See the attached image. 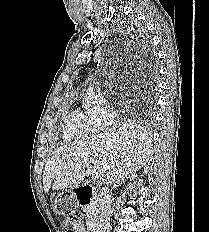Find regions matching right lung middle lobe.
<instances>
[{"label": "right lung middle lobe", "instance_id": "dd1d6c3e", "mask_svg": "<svg viewBox=\"0 0 209 232\" xmlns=\"http://www.w3.org/2000/svg\"><path fill=\"white\" fill-rule=\"evenodd\" d=\"M153 72H155V70H153ZM147 119H148V120H151V112L149 113Z\"/></svg>", "mask_w": 209, "mask_h": 232}]
</instances>
